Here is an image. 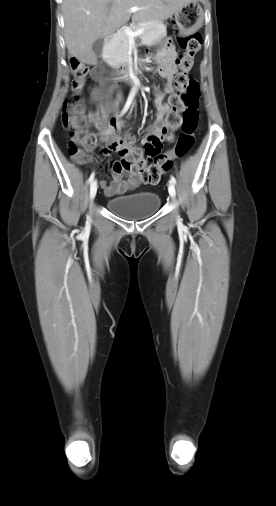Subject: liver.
<instances>
[{
    "mask_svg": "<svg viewBox=\"0 0 276 506\" xmlns=\"http://www.w3.org/2000/svg\"><path fill=\"white\" fill-rule=\"evenodd\" d=\"M193 0H64L65 42L68 53L79 61L94 65L97 61L93 43L113 34L125 25L131 7L135 22H157L170 18Z\"/></svg>",
    "mask_w": 276,
    "mask_h": 506,
    "instance_id": "obj_1",
    "label": "liver"
}]
</instances>
